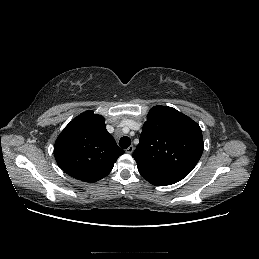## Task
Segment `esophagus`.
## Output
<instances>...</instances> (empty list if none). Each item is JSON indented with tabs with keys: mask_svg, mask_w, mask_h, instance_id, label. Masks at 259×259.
I'll use <instances>...</instances> for the list:
<instances>
[{
	"mask_svg": "<svg viewBox=\"0 0 259 259\" xmlns=\"http://www.w3.org/2000/svg\"><path fill=\"white\" fill-rule=\"evenodd\" d=\"M133 151H134V146H133V145L129 146V147L126 149V152H127L128 154H132Z\"/></svg>",
	"mask_w": 259,
	"mask_h": 259,
	"instance_id": "obj_1",
	"label": "esophagus"
}]
</instances>
